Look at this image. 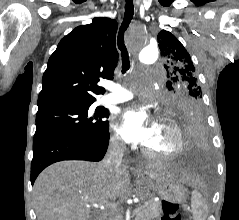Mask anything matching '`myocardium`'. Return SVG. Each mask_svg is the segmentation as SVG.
Segmentation results:
<instances>
[{
    "label": "myocardium",
    "instance_id": "obj_1",
    "mask_svg": "<svg viewBox=\"0 0 239 220\" xmlns=\"http://www.w3.org/2000/svg\"><path fill=\"white\" fill-rule=\"evenodd\" d=\"M161 123L168 127L175 136V147L170 152H161V151H154L149 149L146 146H143L142 151L145 155L155 158V159H163V160H170L177 158L180 156L185 150V138L181 128L169 117H162Z\"/></svg>",
    "mask_w": 239,
    "mask_h": 220
}]
</instances>
